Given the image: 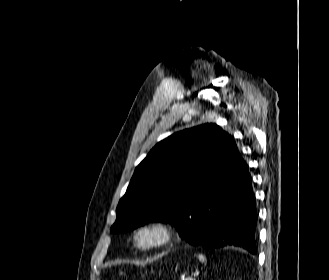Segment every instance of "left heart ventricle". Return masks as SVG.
<instances>
[{
  "mask_svg": "<svg viewBox=\"0 0 329 280\" xmlns=\"http://www.w3.org/2000/svg\"><path fill=\"white\" fill-rule=\"evenodd\" d=\"M153 238H154V235L152 233H143L140 235L139 240L141 243L145 244V243H148L151 240H153Z\"/></svg>",
  "mask_w": 329,
  "mask_h": 280,
  "instance_id": "left-heart-ventricle-1",
  "label": "left heart ventricle"
}]
</instances>
